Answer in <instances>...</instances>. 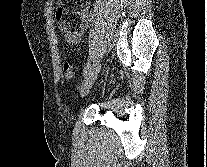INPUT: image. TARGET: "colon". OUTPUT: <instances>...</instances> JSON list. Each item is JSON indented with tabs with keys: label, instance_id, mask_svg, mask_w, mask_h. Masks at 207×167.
I'll return each instance as SVG.
<instances>
[{
	"label": "colon",
	"instance_id": "colon-1",
	"mask_svg": "<svg viewBox=\"0 0 207 167\" xmlns=\"http://www.w3.org/2000/svg\"><path fill=\"white\" fill-rule=\"evenodd\" d=\"M63 74L67 79H71L75 75L73 66L69 62H65L62 66Z\"/></svg>",
	"mask_w": 207,
	"mask_h": 167
}]
</instances>
